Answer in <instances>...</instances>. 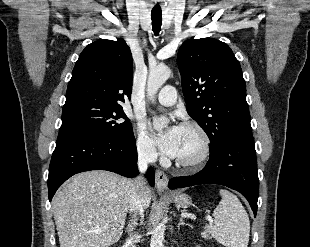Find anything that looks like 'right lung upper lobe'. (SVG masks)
I'll return each instance as SVG.
<instances>
[{"label": "right lung upper lobe", "instance_id": "obj_1", "mask_svg": "<svg viewBox=\"0 0 310 247\" xmlns=\"http://www.w3.org/2000/svg\"><path fill=\"white\" fill-rule=\"evenodd\" d=\"M133 60L122 39L98 40L80 54L68 83L63 110L77 106L122 108L131 97Z\"/></svg>", "mask_w": 310, "mask_h": 247}]
</instances>
